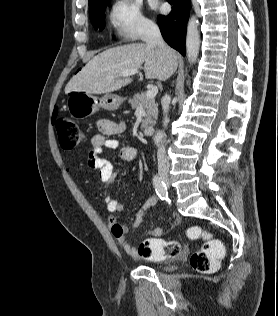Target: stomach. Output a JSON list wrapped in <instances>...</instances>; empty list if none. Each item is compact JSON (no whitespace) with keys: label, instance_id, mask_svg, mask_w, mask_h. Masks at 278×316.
Wrapping results in <instances>:
<instances>
[{"label":"stomach","instance_id":"obj_1","mask_svg":"<svg viewBox=\"0 0 278 316\" xmlns=\"http://www.w3.org/2000/svg\"><path fill=\"white\" fill-rule=\"evenodd\" d=\"M123 101L124 98L112 94H105L101 98H97L90 94L71 92L68 94L66 106L71 117L84 119L99 108L116 110Z\"/></svg>","mask_w":278,"mask_h":316}]
</instances>
